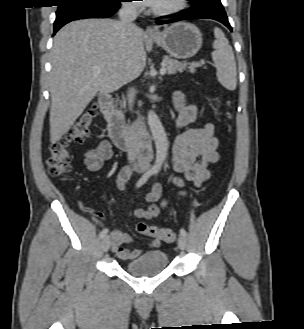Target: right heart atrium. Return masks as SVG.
<instances>
[{
    "label": "right heart atrium",
    "mask_w": 304,
    "mask_h": 329,
    "mask_svg": "<svg viewBox=\"0 0 304 329\" xmlns=\"http://www.w3.org/2000/svg\"><path fill=\"white\" fill-rule=\"evenodd\" d=\"M129 2H132L130 5H128V9L130 11H139L141 7H139V4H136V2L138 1H132V0H128Z\"/></svg>",
    "instance_id": "d8ad5b80"
}]
</instances>
